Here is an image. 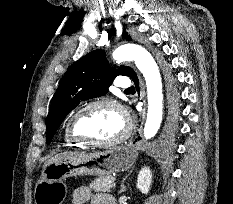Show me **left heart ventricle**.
Wrapping results in <instances>:
<instances>
[{
  "label": "left heart ventricle",
  "mask_w": 233,
  "mask_h": 204,
  "mask_svg": "<svg viewBox=\"0 0 233 204\" xmlns=\"http://www.w3.org/2000/svg\"><path fill=\"white\" fill-rule=\"evenodd\" d=\"M76 132L94 141H108L122 133L124 121L120 113L109 106L93 107L82 113L75 123Z\"/></svg>",
  "instance_id": "obj_1"
}]
</instances>
